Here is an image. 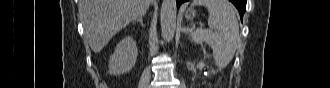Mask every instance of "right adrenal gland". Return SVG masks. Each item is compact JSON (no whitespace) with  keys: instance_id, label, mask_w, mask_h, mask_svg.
<instances>
[{"instance_id":"2a0ac1e0","label":"right adrenal gland","mask_w":330,"mask_h":88,"mask_svg":"<svg viewBox=\"0 0 330 88\" xmlns=\"http://www.w3.org/2000/svg\"><path fill=\"white\" fill-rule=\"evenodd\" d=\"M143 17H144V15L143 16H140L138 19H135L134 22H140L141 25L144 26V24H143Z\"/></svg>"}]
</instances>
